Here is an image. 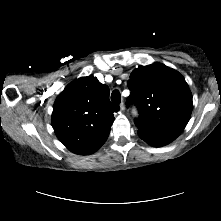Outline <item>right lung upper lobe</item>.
Wrapping results in <instances>:
<instances>
[{
  "label": "right lung upper lobe",
  "instance_id": "obj_1",
  "mask_svg": "<svg viewBox=\"0 0 221 221\" xmlns=\"http://www.w3.org/2000/svg\"><path fill=\"white\" fill-rule=\"evenodd\" d=\"M109 88L94 76L70 83L57 97L52 126L58 139L73 153L89 155L107 140L114 112Z\"/></svg>",
  "mask_w": 221,
  "mask_h": 221
}]
</instances>
